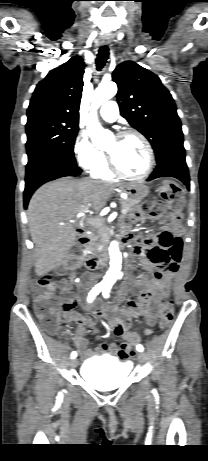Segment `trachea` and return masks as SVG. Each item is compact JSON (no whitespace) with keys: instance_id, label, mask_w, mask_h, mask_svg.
<instances>
[{"instance_id":"1","label":"trachea","mask_w":208,"mask_h":461,"mask_svg":"<svg viewBox=\"0 0 208 461\" xmlns=\"http://www.w3.org/2000/svg\"><path fill=\"white\" fill-rule=\"evenodd\" d=\"M108 56H109V49L107 46H102L100 49H99V52H98V55H97V59H96V67H97V70L100 71L107 59H108Z\"/></svg>"}]
</instances>
